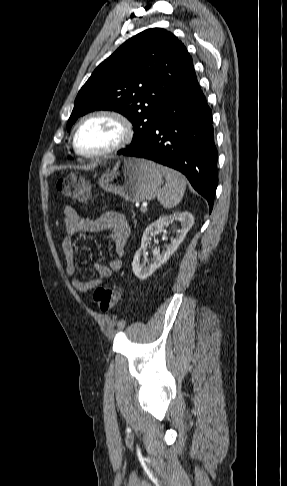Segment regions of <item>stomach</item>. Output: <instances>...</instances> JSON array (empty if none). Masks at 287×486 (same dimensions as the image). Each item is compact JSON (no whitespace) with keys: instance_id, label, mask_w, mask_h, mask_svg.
<instances>
[{"instance_id":"0dacf381","label":"stomach","mask_w":287,"mask_h":486,"mask_svg":"<svg viewBox=\"0 0 287 486\" xmlns=\"http://www.w3.org/2000/svg\"><path fill=\"white\" fill-rule=\"evenodd\" d=\"M163 174L152 161L125 157L118 159L112 170L102 174L99 186L126 201L142 202L153 199L161 190Z\"/></svg>"}]
</instances>
